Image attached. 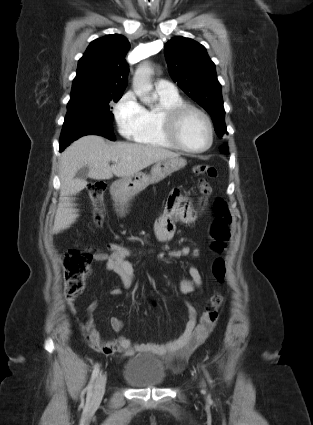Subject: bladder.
Returning a JSON list of instances; mask_svg holds the SVG:
<instances>
[{
	"label": "bladder",
	"mask_w": 313,
	"mask_h": 425,
	"mask_svg": "<svg viewBox=\"0 0 313 425\" xmlns=\"http://www.w3.org/2000/svg\"><path fill=\"white\" fill-rule=\"evenodd\" d=\"M122 378L134 388L159 387L166 382V371L158 357L137 355L126 360Z\"/></svg>",
	"instance_id": "obj_1"
}]
</instances>
